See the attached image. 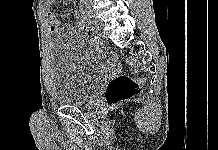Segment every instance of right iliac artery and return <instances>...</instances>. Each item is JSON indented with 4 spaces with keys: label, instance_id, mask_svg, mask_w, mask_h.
I'll use <instances>...</instances> for the list:
<instances>
[{
    "label": "right iliac artery",
    "instance_id": "1",
    "mask_svg": "<svg viewBox=\"0 0 218 150\" xmlns=\"http://www.w3.org/2000/svg\"><path fill=\"white\" fill-rule=\"evenodd\" d=\"M78 17L81 19V21H82L83 23H85L86 25H89V26H91L92 28H94V26H93L94 23H93V21L91 20L90 17H88L87 15H85L84 8L81 9V13L78 14Z\"/></svg>",
    "mask_w": 218,
    "mask_h": 150
}]
</instances>
